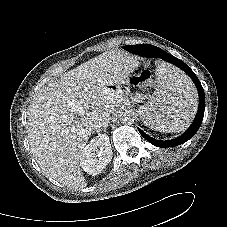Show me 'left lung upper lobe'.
Wrapping results in <instances>:
<instances>
[{
	"label": "left lung upper lobe",
	"instance_id": "5c2ea615",
	"mask_svg": "<svg viewBox=\"0 0 227 227\" xmlns=\"http://www.w3.org/2000/svg\"><path fill=\"white\" fill-rule=\"evenodd\" d=\"M129 46H133V45H128V46H125L124 48H127V47H129Z\"/></svg>",
	"mask_w": 227,
	"mask_h": 227
}]
</instances>
